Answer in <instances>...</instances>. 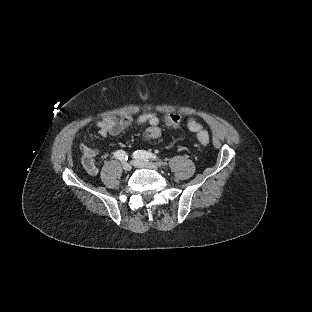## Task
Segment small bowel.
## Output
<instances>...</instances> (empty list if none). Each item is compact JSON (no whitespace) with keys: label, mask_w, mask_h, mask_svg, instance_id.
<instances>
[{"label":"small bowel","mask_w":312,"mask_h":312,"mask_svg":"<svg viewBox=\"0 0 312 312\" xmlns=\"http://www.w3.org/2000/svg\"><path fill=\"white\" fill-rule=\"evenodd\" d=\"M133 122V118L129 114H125L120 118H116L113 116L105 117L99 120L96 124L98 129V135L101 137L106 136H116L122 133L126 128H128ZM136 122L138 124L144 123H157L160 125V118L154 112H146L141 114L137 119ZM167 124V123H166ZM187 128L192 133H198L202 130V124L196 118H189L187 120ZM158 138V137H157ZM81 150V161L85 171L89 175H97L99 172V167L95 163V157L97 155V150L82 143L80 145Z\"/></svg>","instance_id":"obj_1"}]
</instances>
